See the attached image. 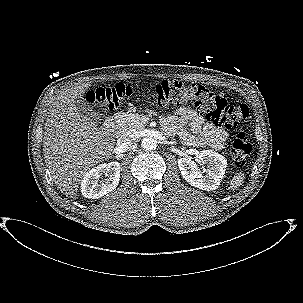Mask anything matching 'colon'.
Segmentation results:
<instances>
[{"label": "colon", "mask_w": 303, "mask_h": 303, "mask_svg": "<svg viewBox=\"0 0 303 303\" xmlns=\"http://www.w3.org/2000/svg\"><path fill=\"white\" fill-rule=\"evenodd\" d=\"M87 98L90 103L106 111L120 109L133 98L149 100L159 107L191 103L209 121L227 128L239 126L249 114L244 104L229 103L202 84L178 80H162L150 88H133L121 83L102 86L89 90ZM251 151L249 137L245 133H238L231 147L234 163L244 165Z\"/></svg>", "instance_id": "5ec220e1"}]
</instances>
